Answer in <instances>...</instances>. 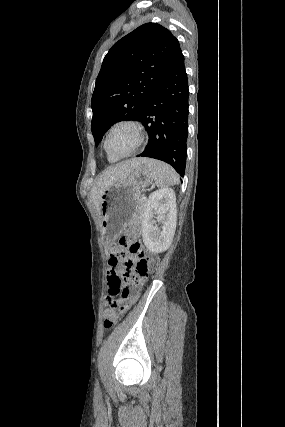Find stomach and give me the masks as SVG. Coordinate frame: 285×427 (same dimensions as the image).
I'll return each instance as SVG.
<instances>
[{"label": "stomach", "mask_w": 285, "mask_h": 427, "mask_svg": "<svg viewBox=\"0 0 285 427\" xmlns=\"http://www.w3.org/2000/svg\"><path fill=\"white\" fill-rule=\"evenodd\" d=\"M153 181L148 168L136 167L127 178L110 186L101 197V232L105 241L116 237L137 217L141 191Z\"/></svg>", "instance_id": "1"}]
</instances>
